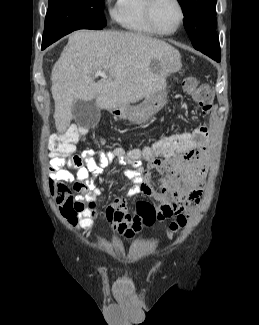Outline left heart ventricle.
<instances>
[{
	"mask_svg": "<svg viewBox=\"0 0 259 325\" xmlns=\"http://www.w3.org/2000/svg\"><path fill=\"white\" fill-rule=\"evenodd\" d=\"M153 18L161 31H172L179 20V9L173 0H157L153 9Z\"/></svg>",
	"mask_w": 259,
	"mask_h": 325,
	"instance_id": "1",
	"label": "left heart ventricle"
}]
</instances>
